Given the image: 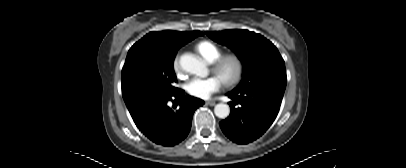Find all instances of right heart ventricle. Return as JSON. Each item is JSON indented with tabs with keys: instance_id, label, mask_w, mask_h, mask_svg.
I'll return each mask as SVG.
<instances>
[{
	"instance_id": "obj_1",
	"label": "right heart ventricle",
	"mask_w": 406,
	"mask_h": 168,
	"mask_svg": "<svg viewBox=\"0 0 406 168\" xmlns=\"http://www.w3.org/2000/svg\"><path fill=\"white\" fill-rule=\"evenodd\" d=\"M196 49L202 55V57L210 63H213L222 55L221 48L213 42L207 40L199 42L196 45Z\"/></svg>"
}]
</instances>
